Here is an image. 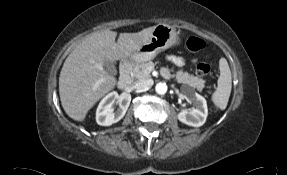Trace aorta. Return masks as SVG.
<instances>
[{
  "mask_svg": "<svg viewBox=\"0 0 287 175\" xmlns=\"http://www.w3.org/2000/svg\"><path fill=\"white\" fill-rule=\"evenodd\" d=\"M155 90L158 94H165L167 92V85L160 82L156 85Z\"/></svg>",
  "mask_w": 287,
  "mask_h": 175,
  "instance_id": "1",
  "label": "aorta"
}]
</instances>
